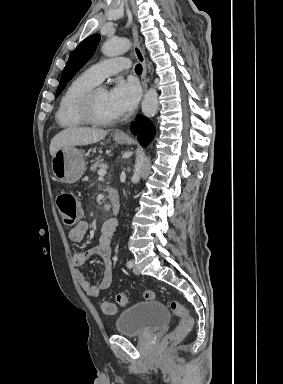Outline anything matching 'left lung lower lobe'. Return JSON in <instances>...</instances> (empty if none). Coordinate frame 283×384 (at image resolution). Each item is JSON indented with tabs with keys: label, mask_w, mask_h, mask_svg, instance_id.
Listing matches in <instances>:
<instances>
[{
	"label": "left lung lower lobe",
	"mask_w": 283,
	"mask_h": 384,
	"mask_svg": "<svg viewBox=\"0 0 283 384\" xmlns=\"http://www.w3.org/2000/svg\"><path fill=\"white\" fill-rule=\"evenodd\" d=\"M131 131L137 135L138 141L143 146H147L155 135L154 125L148 118L142 115H138L135 122L131 124Z\"/></svg>",
	"instance_id": "obj_1"
}]
</instances>
